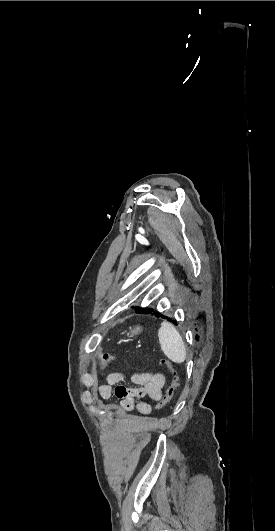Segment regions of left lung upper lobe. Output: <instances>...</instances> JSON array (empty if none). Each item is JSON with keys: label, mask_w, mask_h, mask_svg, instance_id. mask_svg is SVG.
Masks as SVG:
<instances>
[{"label": "left lung upper lobe", "mask_w": 275, "mask_h": 531, "mask_svg": "<svg viewBox=\"0 0 275 531\" xmlns=\"http://www.w3.org/2000/svg\"><path fill=\"white\" fill-rule=\"evenodd\" d=\"M146 310H148V309H140V310H136V312H140V311L143 312V311H146Z\"/></svg>", "instance_id": "1"}]
</instances>
